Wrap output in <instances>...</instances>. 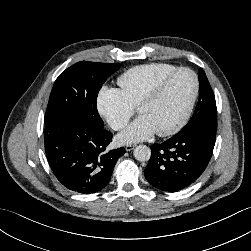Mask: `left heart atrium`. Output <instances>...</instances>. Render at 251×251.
<instances>
[{"instance_id": "1", "label": "left heart atrium", "mask_w": 251, "mask_h": 251, "mask_svg": "<svg viewBox=\"0 0 251 251\" xmlns=\"http://www.w3.org/2000/svg\"><path fill=\"white\" fill-rule=\"evenodd\" d=\"M155 133V129L150 121L140 115L127 129L118 136L120 143H134L145 140Z\"/></svg>"}]
</instances>
